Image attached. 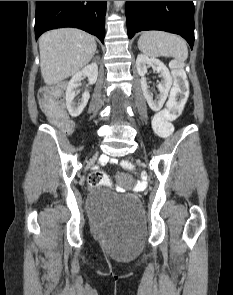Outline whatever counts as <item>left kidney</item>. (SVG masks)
<instances>
[{"label":"left kidney","instance_id":"obj_1","mask_svg":"<svg viewBox=\"0 0 233 295\" xmlns=\"http://www.w3.org/2000/svg\"><path fill=\"white\" fill-rule=\"evenodd\" d=\"M149 66L152 67L153 70L159 73L160 76L162 77L161 82L157 86L160 92V95L158 96V100H153V94L149 91L147 79L145 78L147 67ZM136 68H137L138 74L141 76V81H140L141 88L149 107L153 111H159L163 107V104L167 99L169 90L172 85V77L168 68L159 59L149 58L143 54H139L137 56Z\"/></svg>","mask_w":233,"mask_h":295}]
</instances>
